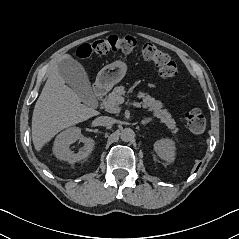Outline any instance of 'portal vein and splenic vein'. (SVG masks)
<instances>
[{
    "instance_id": "obj_1",
    "label": "portal vein and splenic vein",
    "mask_w": 239,
    "mask_h": 239,
    "mask_svg": "<svg viewBox=\"0 0 239 239\" xmlns=\"http://www.w3.org/2000/svg\"><path fill=\"white\" fill-rule=\"evenodd\" d=\"M118 101H119L120 104H122V103H124V98H123V97H120ZM133 104H134L136 107H139V108L141 107V105H140L139 103H137V102H135V103H133Z\"/></svg>"
}]
</instances>
